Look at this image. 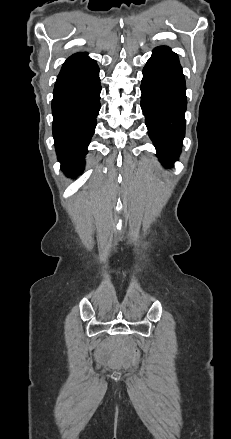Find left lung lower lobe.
Segmentation results:
<instances>
[{
  "mask_svg": "<svg viewBox=\"0 0 231 439\" xmlns=\"http://www.w3.org/2000/svg\"><path fill=\"white\" fill-rule=\"evenodd\" d=\"M141 108L148 134L161 163L178 159L185 136V78L176 53L157 47L143 69Z\"/></svg>",
  "mask_w": 231,
  "mask_h": 439,
  "instance_id": "left-lung-lower-lobe-1",
  "label": "left lung lower lobe"
}]
</instances>
